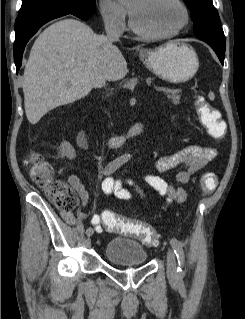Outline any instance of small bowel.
<instances>
[{
  "label": "small bowel",
  "instance_id": "c3829d8e",
  "mask_svg": "<svg viewBox=\"0 0 245 319\" xmlns=\"http://www.w3.org/2000/svg\"><path fill=\"white\" fill-rule=\"evenodd\" d=\"M215 156L216 151L210 147L198 145L184 146L174 153L159 157L154 162L155 169L161 173H167L175 168H180L175 174L174 182L167 181L163 177L155 174H146L143 176V180L166 198L164 206H167L172 202L182 203L187 198V192L182 185L188 183L191 176L201 170ZM103 182V191L119 200L129 202L138 198L144 203H148L149 201L145 191L138 185L134 184L133 193L125 189L120 181L113 178H106ZM70 184L79 194L81 205L85 206L88 202L89 194L83 184L76 176L70 178ZM60 214L69 224H76L77 222L90 217L91 223L96 231L102 232L104 230L101 224V216L98 213H78L75 215L70 212L62 211Z\"/></svg>",
  "mask_w": 245,
  "mask_h": 319
}]
</instances>
